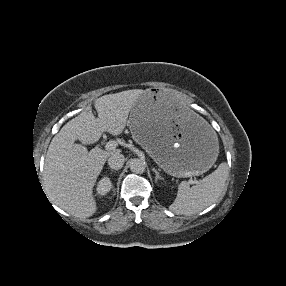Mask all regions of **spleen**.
I'll return each mask as SVG.
<instances>
[{
  "mask_svg": "<svg viewBox=\"0 0 286 286\" xmlns=\"http://www.w3.org/2000/svg\"><path fill=\"white\" fill-rule=\"evenodd\" d=\"M228 167L221 163L218 168L202 179L200 184L190 187L182 181L176 199L169 209L176 214L192 215L201 212L216 202L221 195L227 179Z\"/></svg>",
  "mask_w": 286,
  "mask_h": 286,
  "instance_id": "spleen-1",
  "label": "spleen"
}]
</instances>
